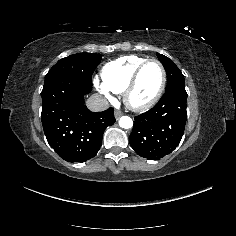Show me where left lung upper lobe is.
<instances>
[{"instance_id": "5c2ea615", "label": "left lung upper lobe", "mask_w": 236, "mask_h": 236, "mask_svg": "<svg viewBox=\"0 0 236 236\" xmlns=\"http://www.w3.org/2000/svg\"><path fill=\"white\" fill-rule=\"evenodd\" d=\"M157 57L162 62L167 74L166 89L171 87L184 85V76L174 62L168 57L157 53Z\"/></svg>"}]
</instances>
